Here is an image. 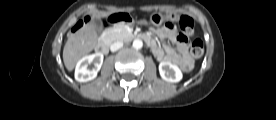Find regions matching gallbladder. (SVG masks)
I'll list each match as a JSON object with an SVG mask.
<instances>
[{"label":"gallbladder","instance_id":"1","mask_svg":"<svg viewBox=\"0 0 276 120\" xmlns=\"http://www.w3.org/2000/svg\"><path fill=\"white\" fill-rule=\"evenodd\" d=\"M94 26H95L97 32L102 31V24L100 21H95Z\"/></svg>","mask_w":276,"mask_h":120}]
</instances>
